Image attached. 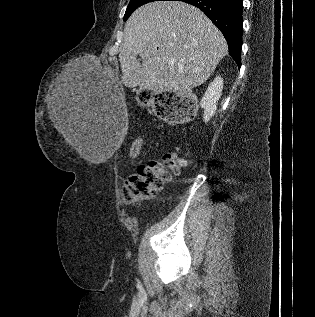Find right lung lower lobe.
I'll use <instances>...</instances> for the list:
<instances>
[{
	"label": "right lung lower lobe",
	"instance_id": "1",
	"mask_svg": "<svg viewBox=\"0 0 315 317\" xmlns=\"http://www.w3.org/2000/svg\"><path fill=\"white\" fill-rule=\"evenodd\" d=\"M202 10L219 28L228 43L229 54L241 67L243 35L242 0H177Z\"/></svg>",
	"mask_w": 315,
	"mask_h": 317
}]
</instances>
